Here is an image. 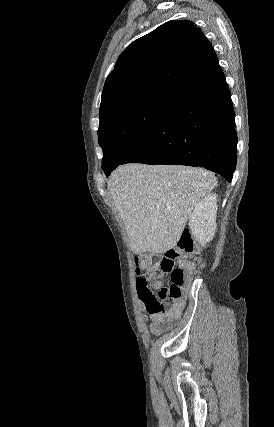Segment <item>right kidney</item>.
<instances>
[{"label":"right kidney","instance_id":"right-kidney-1","mask_svg":"<svg viewBox=\"0 0 274 427\" xmlns=\"http://www.w3.org/2000/svg\"><path fill=\"white\" fill-rule=\"evenodd\" d=\"M217 196L207 194L203 200L195 206L189 217V227L193 239H197L202 247L211 241L215 235L217 223Z\"/></svg>","mask_w":274,"mask_h":427}]
</instances>
